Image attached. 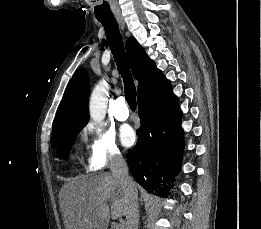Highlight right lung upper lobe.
Returning a JSON list of instances; mask_svg holds the SVG:
<instances>
[{
	"label": "right lung upper lobe",
	"instance_id": "cb5924a9",
	"mask_svg": "<svg viewBox=\"0 0 261 229\" xmlns=\"http://www.w3.org/2000/svg\"><path fill=\"white\" fill-rule=\"evenodd\" d=\"M129 65L139 81L138 96L155 87L165 79L162 71L147 56L142 46L133 37L126 43ZM89 77L84 68L77 70L69 81L59 105L52 131V148L60 145L63 138L58 129L64 126L86 125L88 112Z\"/></svg>",
	"mask_w": 261,
	"mask_h": 229
}]
</instances>
